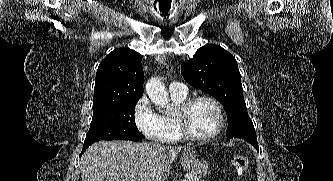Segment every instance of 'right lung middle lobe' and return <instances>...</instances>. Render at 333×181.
Listing matches in <instances>:
<instances>
[{
  "instance_id": "right-lung-middle-lobe-1",
  "label": "right lung middle lobe",
  "mask_w": 333,
  "mask_h": 181,
  "mask_svg": "<svg viewBox=\"0 0 333 181\" xmlns=\"http://www.w3.org/2000/svg\"><path fill=\"white\" fill-rule=\"evenodd\" d=\"M138 100L124 101L94 108L90 129L84 146L99 140L138 141L144 136L138 131L134 110Z\"/></svg>"
}]
</instances>
